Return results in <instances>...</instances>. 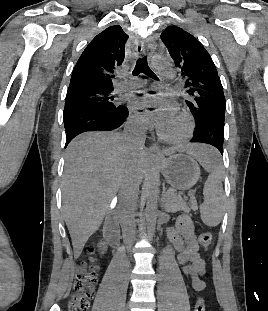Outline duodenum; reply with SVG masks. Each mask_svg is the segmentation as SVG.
Listing matches in <instances>:
<instances>
[{
  "label": "duodenum",
  "mask_w": 268,
  "mask_h": 311,
  "mask_svg": "<svg viewBox=\"0 0 268 311\" xmlns=\"http://www.w3.org/2000/svg\"><path fill=\"white\" fill-rule=\"evenodd\" d=\"M106 232L113 242L118 241V237H119L118 228H117L116 220L114 218H111L108 220L106 224Z\"/></svg>",
  "instance_id": "duodenum-1"
}]
</instances>
